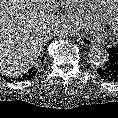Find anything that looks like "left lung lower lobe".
Here are the masks:
<instances>
[{"instance_id":"0a47b994","label":"left lung lower lobe","mask_w":118,"mask_h":118,"mask_svg":"<svg viewBox=\"0 0 118 118\" xmlns=\"http://www.w3.org/2000/svg\"><path fill=\"white\" fill-rule=\"evenodd\" d=\"M107 60L98 69L99 76L109 82L118 83V47L106 50Z\"/></svg>"}]
</instances>
